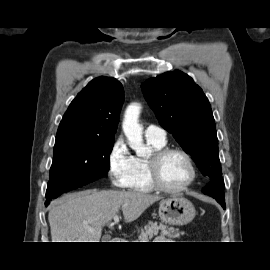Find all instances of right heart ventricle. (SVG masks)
I'll return each instance as SVG.
<instances>
[{"instance_id": "1", "label": "right heart ventricle", "mask_w": 270, "mask_h": 270, "mask_svg": "<svg viewBox=\"0 0 270 270\" xmlns=\"http://www.w3.org/2000/svg\"><path fill=\"white\" fill-rule=\"evenodd\" d=\"M153 150H158L165 146L166 142H159L152 139H147ZM147 159L143 157H134V170L130 183V189L140 193H149L153 191V187L149 181L147 172Z\"/></svg>"}]
</instances>
